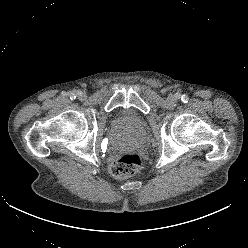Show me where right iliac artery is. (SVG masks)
Wrapping results in <instances>:
<instances>
[{"mask_svg": "<svg viewBox=\"0 0 248 248\" xmlns=\"http://www.w3.org/2000/svg\"><path fill=\"white\" fill-rule=\"evenodd\" d=\"M69 96H70V99L73 100V99L76 98V93L75 92H71Z\"/></svg>", "mask_w": 248, "mask_h": 248, "instance_id": "obj_1", "label": "right iliac artery"}]
</instances>
